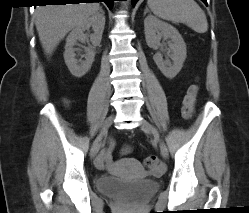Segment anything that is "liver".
Returning <instances> with one entry per match:
<instances>
[{
    "label": "liver",
    "instance_id": "liver-1",
    "mask_svg": "<svg viewBox=\"0 0 249 213\" xmlns=\"http://www.w3.org/2000/svg\"><path fill=\"white\" fill-rule=\"evenodd\" d=\"M99 10L98 2L37 6L35 25L45 53L51 55L71 29Z\"/></svg>",
    "mask_w": 249,
    "mask_h": 213
}]
</instances>
